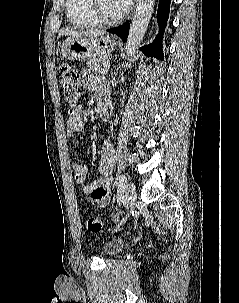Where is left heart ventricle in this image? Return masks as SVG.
Here are the masks:
<instances>
[{"mask_svg": "<svg viewBox=\"0 0 239 303\" xmlns=\"http://www.w3.org/2000/svg\"><path fill=\"white\" fill-rule=\"evenodd\" d=\"M101 8L107 17H116L124 12L117 0H101Z\"/></svg>", "mask_w": 239, "mask_h": 303, "instance_id": "obj_1", "label": "left heart ventricle"}]
</instances>
